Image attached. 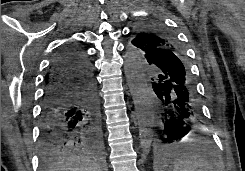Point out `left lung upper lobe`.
Here are the masks:
<instances>
[{"label":"left lung upper lobe","mask_w":245,"mask_h":171,"mask_svg":"<svg viewBox=\"0 0 245 171\" xmlns=\"http://www.w3.org/2000/svg\"><path fill=\"white\" fill-rule=\"evenodd\" d=\"M131 43L139 48L147 61L163 51H172L183 56L176 37L157 22L139 23L131 34Z\"/></svg>","instance_id":"1"}]
</instances>
